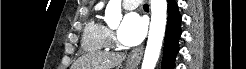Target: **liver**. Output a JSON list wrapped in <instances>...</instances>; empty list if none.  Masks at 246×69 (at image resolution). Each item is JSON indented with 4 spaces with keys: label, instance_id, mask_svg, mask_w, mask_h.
<instances>
[{
    "label": "liver",
    "instance_id": "liver-1",
    "mask_svg": "<svg viewBox=\"0 0 246 69\" xmlns=\"http://www.w3.org/2000/svg\"><path fill=\"white\" fill-rule=\"evenodd\" d=\"M125 58L126 55L123 53L89 54L80 57L73 67H75L74 69H113L120 65Z\"/></svg>",
    "mask_w": 246,
    "mask_h": 69
}]
</instances>
